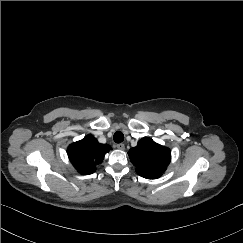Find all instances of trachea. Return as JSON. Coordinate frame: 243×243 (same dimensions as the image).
<instances>
[{"instance_id": "3493384b", "label": "trachea", "mask_w": 243, "mask_h": 243, "mask_svg": "<svg viewBox=\"0 0 243 243\" xmlns=\"http://www.w3.org/2000/svg\"><path fill=\"white\" fill-rule=\"evenodd\" d=\"M113 139L116 143H121L124 140V135L121 131L114 133Z\"/></svg>"}]
</instances>
